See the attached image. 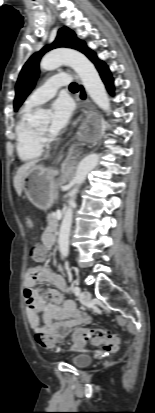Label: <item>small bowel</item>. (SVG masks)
<instances>
[{
    "instance_id": "obj_1",
    "label": "small bowel",
    "mask_w": 155,
    "mask_h": 413,
    "mask_svg": "<svg viewBox=\"0 0 155 413\" xmlns=\"http://www.w3.org/2000/svg\"><path fill=\"white\" fill-rule=\"evenodd\" d=\"M26 224L32 227L35 221L29 218ZM52 241V230L45 231L42 235L43 247L49 249L53 245ZM38 281H46L54 288H36ZM24 286L27 319L36 334L37 341L45 338L53 342H61L74 327L90 321L87 314L78 311L72 300L64 299L63 291L66 287L64 278L54 274L47 267H29ZM39 313H42V320Z\"/></svg>"
}]
</instances>
